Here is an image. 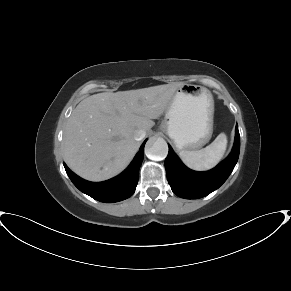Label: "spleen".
<instances>
[{
    "label": "spleen",
    "instance_id": "spleen-1",
    "mask_svg": "<svg viewBox=\"0 0 291 291\" xmlns=\"http://www.w3.org/2000/svg\"><path fill=\"white\" fill-rule=\"evenodd\" d=\"M227 147V136L220 133L207 147L197 150H181L179 155L189 168L196 171H205L215 167L222 159Z\"/></svg>",
    "mask_w": 291,
    "mask_h": 291
}]
</instances>
